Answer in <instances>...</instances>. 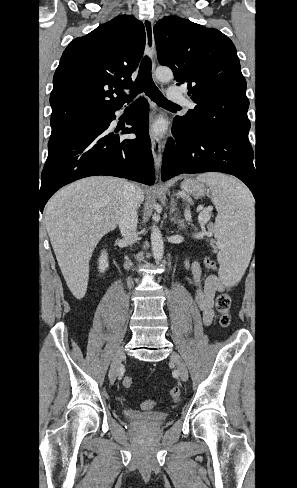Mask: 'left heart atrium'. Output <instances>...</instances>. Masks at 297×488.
Masks as SVG:
<instances>
[{
  "instance_id": "obj_1",
  "label": "left heart atrium",
  "mask_w": 297,
  "mask_h": 488,
  "mask_svg": "<svg viewBox=\"0 0 297 488\" xmlns=\"http://www.w3.org/2000/svg\"><path fill=\"white\" fill-rule=\"evenodd\" d=\"M151 136L162 137L165 132V127L161 121L154 122L149 129Z\"/></svg>"
}]
</instances>
